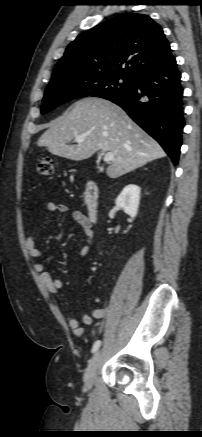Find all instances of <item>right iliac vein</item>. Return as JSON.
<instances>
[{
    "label": "right iliac vein",
    "mask_w": 202,
    "mask_h": 437,
    "mask_svg": "<svg viewBox=\"0 0 202 437\" xmlns=\"http://www.w3.org/2000/svg\"><path fill=\"white\" fill-rule=\"evenodd\" d=\"M100 362V351H97L90 360L84 374V384L87 389H90L94 383L95 374Z\"/></svg>",
    "instance_id": "obj_1"
}]
</instances>
